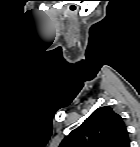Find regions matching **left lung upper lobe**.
<instances>
[{"label":"left lung upper lobe","instance_id":"obj_1","mask_svg":"<svg viewBox=\"0 0 140 147\" xmlns=\"http://www.w3.org/2000/svg\"><path fill=\"white\" fill-rule=\"evenodd\" d=\"M129 144L123 118L105 106L96 109L66 136L60 147H129Z\"/></svg>","mask_w":140,"mask_h":147}]
</instances>
